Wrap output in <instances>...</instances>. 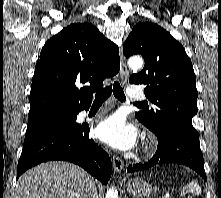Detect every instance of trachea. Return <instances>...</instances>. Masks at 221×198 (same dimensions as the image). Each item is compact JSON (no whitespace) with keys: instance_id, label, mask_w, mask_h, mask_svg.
I'll list each match as a JSON object with an SVG mask.
<instances>
[{"instance_id":"obj_1","label":"trachea","mask_w":221,"mask_h":198,"mask_svg":"<svg viewBox=\"0 0 221 198\" xmlns=\"http://www.w3.org/2000/svg\"><path fill=\"white\" fill-rule=\"evenodd\" d=\"M112 92L118 100L120 101L126 100L125 94L119 82L114 81L113 84L105 87L104 89L98 91L95 94L94 104H102L111 95ZM138 104H142V103H138Z\"/></svg>"}]
</instances>
